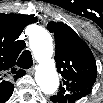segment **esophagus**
Wrapping results in <instances>:
<instances>
[{"mask_svg": "<svg viewBox=\"0 0 103 103\" xmlns=\"http://www.w3.org/2000/svg\"><path fill=\"white\" fill-rule=\"evenodd\" d=\"M35 72V66H32L30 69H28L29 74H34Z\"/></svg>", "mask_w": 103, "mask_h": 103, "instance_id": "34e87169", "label": "esophagus"}]
</instances>
